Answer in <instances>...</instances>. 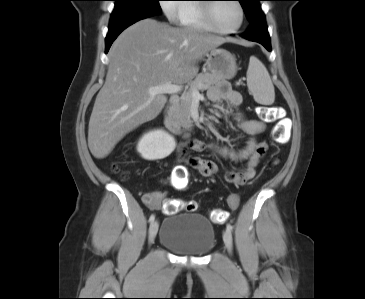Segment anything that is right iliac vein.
<instances>
[{"mask_svg": "<svg viewBox=\"0 0 365 299\" xmlns=\"http://www.w3.org/2000/svg\"><path fill=\"white\" fill-rule=\"evenodd\" d=\"M159 224L157 221H153L149 228V241L152 243L157 235Z\"/></svg>", "mask_w": 365, "mask_h": 299, "instance_id": "right-iliac-vein-1", "label": "right iliac vein"}]
</instances>
